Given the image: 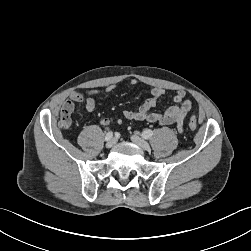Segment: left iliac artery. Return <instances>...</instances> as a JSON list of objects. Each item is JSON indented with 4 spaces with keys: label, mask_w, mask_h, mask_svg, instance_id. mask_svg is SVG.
<instances>
[{
    "label": "left iliac artery",
    "mask_w": 251,
    "mask_h": 251,
    "mask_svg": "<svg viewBox=\"0 0 251 251\" xmlns=\"http://www.w3.org/2000/svg\"><path fill=\"white\" fill-rule=\"evenodd\" d=\"M153 135V131L150 129H146L142 132V137L145 139H149Z\"/></svg>",
    "instance_id": "obj_1"
}]
</instances>
